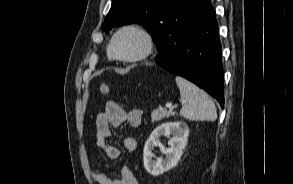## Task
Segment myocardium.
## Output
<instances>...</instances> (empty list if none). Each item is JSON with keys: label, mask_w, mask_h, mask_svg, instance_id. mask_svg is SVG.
I'll use <instances>...</instances> for the list:
<instances>
[{"label": "myocardium", "mask_w": 293, "mask_h": 184, "mask_svg": "<svg viewBox=\"0 0 293 184\" xmlns=\"http://www.w3.org/2000/svg\"><path fill=\"white\" fill-rule=\"evenodd\" d=\"M125 31H134L142 37L144 42L143 49L137 55L130 56V57H122L115 53L114 42L116 38ZM154 47H155L154 38L152 34L149 32V30L140 24L131 23V24H126L120 27L113 34L108 45V51L110 56L115 60H118L121 62L133 63V62H139L148 58L152 54Z\"/></svg>", "instance_id": "myocardium-1"}]
</instances>
